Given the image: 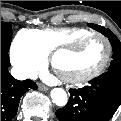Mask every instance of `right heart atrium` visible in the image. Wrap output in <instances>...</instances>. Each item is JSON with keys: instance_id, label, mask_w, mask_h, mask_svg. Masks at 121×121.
Wrapping results in <instances>:
<instances>
[{"instance_id": "1", "label": "right heart atrium", "mask_w": 121, "mask_h": 121, "mask_svg": "<svg viewBox=\"0 0 121 121\" xmlns=\"http://www.w3.org/2000/svg\"><path fill=\"white\" fill-rule=\"evenodd\" d=\"M15 65L24 73L34 72L43 63V56L30 47L17 45L11 51Z\"/></svg>"}]
</instances>
